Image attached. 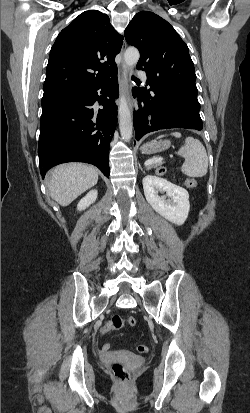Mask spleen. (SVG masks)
Masks as SVG:
<instances>
[{
    "label": "spleen",
    "instance_id": "3e777b00",
    "mask_svg": "<svg viewBox=\"0 0 250 413\" xmlns=\"http://www.w3.org/2000/svg\"><path fill=\"white\" fill-rule=\"evenodd\" d=\"M171 135L176 138L181 137L180 132H173ZM177 154L185 158V161L181 167L183 174L189 177H202L207 174V152L203 144L198 139L190 136L186 137L185 144L179 149Z\"/></svg>",
    "mask_w": 250,
    "mask_h": 413
}]
</instances>
